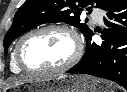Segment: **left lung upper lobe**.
Masks as SVG:
<instances>
[{
	"instance_id": "obj_1",
	"label": "left lung upper lobe",
	"mask_w": 127,
	"mask_h": 92,
	"mask_svg": "<svg viewBox=\"0 0 127 92\" xmlns=\"http://www.w3.org/2000/svg\"><path fill=\"white\" fill-rule=\"evenodd\" d=\"M116 0H26L15 14L13 24L4 39L8 52L10 43L24 32L44 23L65 22L77 27L85 37L92 33L86 24L80 23L82 8L96 3L105 10ZM76 3H79L76 5ZM89 10V8H87ZM92 10L90 9V12Z\"/></svg>"
}]
</instances>
